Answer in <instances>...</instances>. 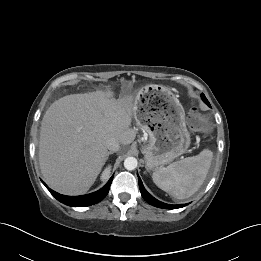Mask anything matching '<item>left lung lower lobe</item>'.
Here are the masks:
<instances>
[{
    "label": "left lung lower lobe",
    "instance_id": "left-lung-lower-lobe-1",
    "mask_svg": "<svg viewBox=\"0 0 261 261\" xmlns=\"http://www.w3.org/2000/svg\"><path fill=\"white\" fill-rule=\"evenodd\" d=\"M138 181H139V187H140L141 195L145 199V201L147 203H149L150 205H153V206L158 207V208H164V209H177V208H182V207L185 206V205H182V204L170 205V204H165L161 201H158L157 199H155L152 195H150L146 191V189L144 188L143 183H142L139 176H138Z\"/></svg>",
    "mask_w": 261,
    "mask_h": 261
}]
</instances>
